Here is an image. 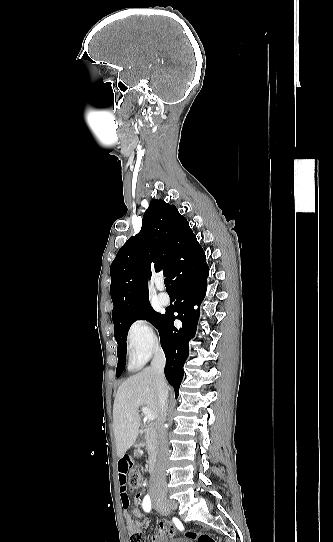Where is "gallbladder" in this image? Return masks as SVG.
Returning a JSON list of instances; mask_svg holds the SVG:
<instances>
[{
    "instance_id": "bac80fb5",
    "label": "gallbladder",
    "mask_w": 333,
    "mask_h": 542,
    "mask_svg": "<svg viewBox=\"0 0 333 542\" xmlns=\"http://www.w3.org/2000/svg\"><path fill=\"white\" fill-rule=\"evenodd\" d=\"M140 444H137L133 454L135 456V458H141V456H143V450H141V448H139Z\"/></svg>"
}]
</instances>
